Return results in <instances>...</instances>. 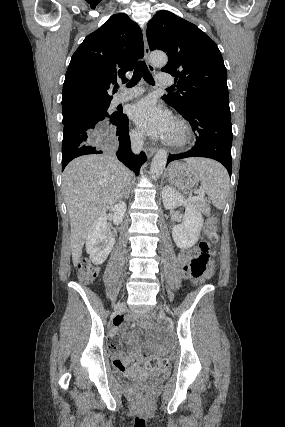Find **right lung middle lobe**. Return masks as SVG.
<instances>
[{"mask_svg":"<svg viewBox=\"0 0 285 427\" xmlns=\"http://www.w3.org/2000/svg\"><path fill=\"white\" fill-rule=\"evenodd\" d=\"M110 106V102L101 104V105H97L94 107H89V108H85V109H81L78 111H75L69 115L63 116V120H68L71 119L72 115H91L95 118L101 119L103 121L109 122L111 123L113 120H115L118 116L119 113L118 112H114L112 114L108 113V108Z\"/></svg>","mask_w":285,"mask_h":427,"instance_id":"dd1d6c3e","label":"right lung middle lobe"}]
</instances>
